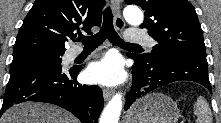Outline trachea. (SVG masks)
Instances as JSON below:
<instances>
[{"label": "trachea", "mask_w": 221, "mask_h": 123, "mask_svg": "<svg viewBox=\"0 0 221 123\" xmlns=\"http://www.w3.org/2000/svg\"><path fill=\"white\" fill-rule=\"evenodd\" d=\"M106 39H108L111 43L116 46L121 47H134L139 46L133 43L124 42L113 26V15L110 8H106L103 15V25L100 31L92 36H80L77 41L83 43V45L87 48H97L100 44H102Z\"/></svg>", "instance_id": "trachea-1"}]
</instances>
